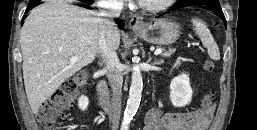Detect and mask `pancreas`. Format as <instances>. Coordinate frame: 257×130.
<instances>
[{"label":"pancreas","mask_w":257,"mask_h":130,"mask_svg":"<svg viewBox=\"0 0 257 130\" xmlns=\"http://www.w3.org/2000/svg\"><path fill=\"white\" fill-rule=\"evenodd\" d=\"M173 52H174L173 49H169L168 51H164V52L162 53V56H163V57H170Z\"/></svg>","instance_id":"pancreas-1"}]
</instances>
